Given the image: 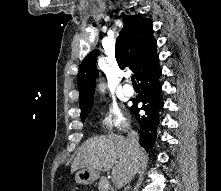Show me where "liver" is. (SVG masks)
<instances>
[{
    "instance_id": "6515ba94",
    "label": "liver",
    "mask_w": 221,
    "mask_h": 191,
    "mask_svg": "<svg viewBox=\"0 0 221 191\" xmlns=\"http://www.w3.org/2000/svg\"><path fill=\"white\" fill-rule=\"evenodd\" d=\"M140 162L144 157L143 149L139 146ZM132 155L127 138L118 135L99 136L86 140L79 148L71 165V172L82 168L96 171L112 170L113 183L121 188L128 183L136 171L132 172Z\"/></svg>"
}]
</instances>
